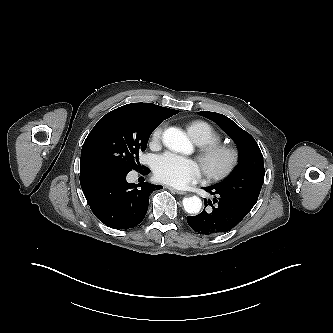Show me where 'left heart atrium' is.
<instances>
[{
	"instance_id": "left-heart-atrium-1",
	"label": "left heart atrium",
	"mask_w": 333,
	"mask_h": 333,
	"mask_svg": "<svg viewBox=\"0 0 333 333\" xmlns=\"http://www.w3.org/2000/svg\"><path fill=\"white\" fill-rule=\"evenodd\" d=\"M153 170L157 180L177 188L186 187L199 179L201 174L196 161L172 153L158 156Z\"/></svg>"
}]
</instances>
